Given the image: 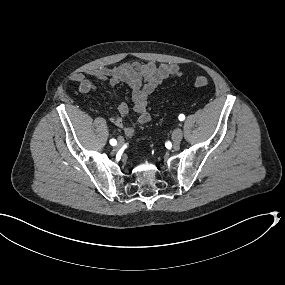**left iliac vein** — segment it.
Returning a JSON list of instances; mask_svg holds the SVG:
<instances>
[{
    "label": "left iliac vein",
    "mask_w": 285,
    "mask_h": 285,
    "mask_svg": "<svg viewBox=\"0 0 285 285\" xmlns=\"http://www.w3.org/2000/svg\"><path fill=\"white\" fill-rule=\"evenodd\" d=\"M183 137V132L180 128H176L172 133V141L174 147H178Z\"/></svg>",
    "instance_id": "left-iliac-vein-1"
}]
</instances>
